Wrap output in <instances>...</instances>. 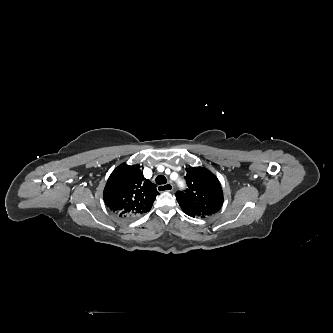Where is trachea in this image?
I'll return each mask as SVG.
<instances>
[{
    "label": "trachea",
    "mask_w": 333,
    "mask_h": 333,
    "mask_svg": "<svg viewBox=\"0 0 333 333\" xmlns=\"http://www.w3.org/2000/svg\"><path fill=\"white\" fill-rule=\"evenodd\" d=\"M156 183L158 185L165 184V183H167V179H166L165 176L159 175V176L156 177Z\"/></svg>",
    "instance_id": "trachea-1"
}]
</instances>
